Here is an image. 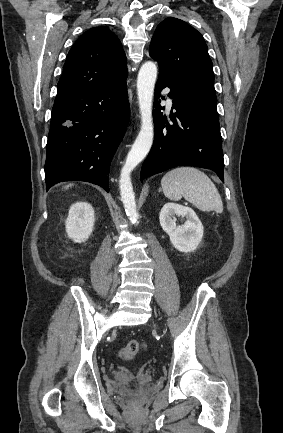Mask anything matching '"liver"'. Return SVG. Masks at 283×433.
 Wrapping results in <instances>:
<instances>
[{
  "mask_svg": "<svg viewBox=\"0 0 283 433\" xmlns=\"http://www.w3.org/2000/svg\"><path fill=\"white\" fill-rule=\"evenodd\" d=\"M69 186H72V184H67V186H64V188H69Z\"/></svg>",
  "mask_w": 283,
  "mask_h": 433,
  "instance_id": "6515ba94",
  "label": "liver"
}]
</instances>
